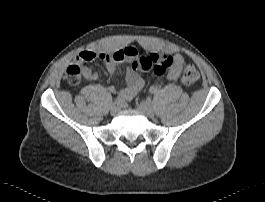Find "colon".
I'll list each match as a JSON object with an SVG mask.
<instances>
[{"label":"colon","instance_id":"colon-1","mask_svg":"<svg viewBox=\"0 0 265 202\" xmlns=\"http://www.w3.org/2000/svg\"><path fill=\"white\" fill-rule=\"evenodd\" d=\"M134 51L126 49L120 50L112 54L114 60H122L125 57H135ZM173 65L172 57L168 55L149 53L134 58L132 68L137 72H152L158 76H162ZM65 76L69 83L77 85L81 83L84 76V67L82 64H71L67 67ZM201 75L198 69L189 61L183 62L180 80L186 86H192L199 82Z\"/></svg>","mask_w":265,"mask_h":202}]
</instances>
